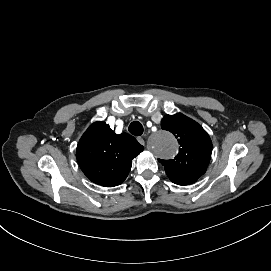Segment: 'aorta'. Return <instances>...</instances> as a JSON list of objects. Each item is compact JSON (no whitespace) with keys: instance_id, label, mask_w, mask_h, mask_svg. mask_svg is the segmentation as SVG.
Returning <instances> with one entry per match:
<instances>
[{"instance_id":"1","label":"aorta","mask_w":271,"mask_h":271,"mask_svg":"<svg viewBox=\"0 0 271 271\" xmlns=\"http://www.w3.org/2000/svg\"><path fill=\"white\" fill-rule=\"evenodd\" d=\"M151 150L162 158H172L178 150L177 140L166 131H159L150 139Z\"/></svg>"}]
</instances>
